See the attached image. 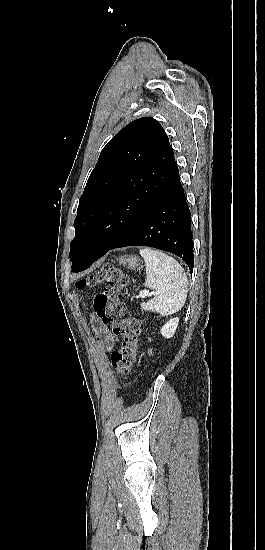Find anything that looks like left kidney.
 Segmentation results:
<instances>
[{
    "instance_id": "5707ae66",
    "label": "left kidney",
    "mask_w": 265,
    "mask_h": 550,
    "mask_svg": "<svg viewBox=\"0 0 265 550\" xmlns=\"http://www.w3.org/2000/svg\"><path fill=\"white\" fill-rule=\"evenodd\" d=\"M178 323H179L178 317L170 319L167 323H165V325H163V327L161 328L162 336H164L167 339L173 337L178 327Z\"/></svg>"
}]
</instances>
